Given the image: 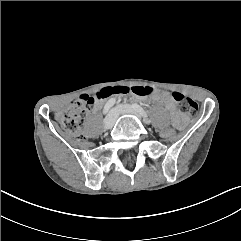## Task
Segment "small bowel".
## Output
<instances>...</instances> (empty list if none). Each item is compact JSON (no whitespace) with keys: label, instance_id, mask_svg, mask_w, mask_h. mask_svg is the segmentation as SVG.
Wrapping results in <instances>:
<instances>
[{"label":"small bowel","instance_id":"1","mask_svg":"<svg viewBox=\"0 0 241 241\" xmlns=\"http://www.w3.org/2000/svg\"><path fill=\"white\" fill-rule=\"evenodd\" d=\"M152 98L155 101H158L160 103H162L168 110L171 111L174 119L178 122H182L183 121V117L182 115L179 113V111L176 108V105L172 99V97L170 96L169 93L163 92V93H157L154 92L152 94Z\"/></svg>","mask_w":241,"mask_h":241}]
</instances>
